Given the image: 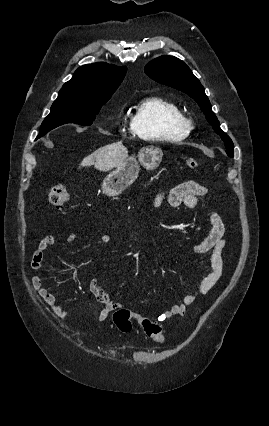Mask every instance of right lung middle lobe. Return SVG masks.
Here are the masks:
<instances>
[{"label":"right lung middle lobe","mask_w":269,"mask_h":426,"mask_svg":"<svg viewBox=\"0 0 269 426\" xmlns=\"http://www.w3.org/2000/svg\"><path fill=\"white\" fill-rule=\"evenodd\" d=\"M109 99L110 96L86 97L71 93L58 94L51 107V112L41 125L37 138L66 123L91 125L102 105Z\"/></svg>","instance_id":"dd1d6c3e"}]
</instances>
